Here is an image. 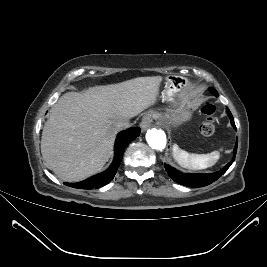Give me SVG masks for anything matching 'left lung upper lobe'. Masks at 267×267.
Instances as JSON below:
<instances>
[{
	"label": "left lung upper lobe",
	"instance_id": "left-lung-upper-lobe-1",
	"mask_svg": "<svg viewBox=\"0 0 267 267\" xmlns=\"http://www.w3.org/2000/svg\"><path fill=\"white\" fill-rule=\"evenodd\" d=\"M212 94H214L215 96H218V93H217L216 90H214V91L212 92Z\"/></svg>",
	"mask_w": 267,
	"mask_h": 267
}]
</instances>
